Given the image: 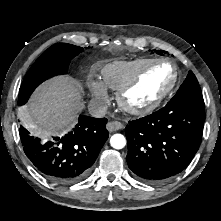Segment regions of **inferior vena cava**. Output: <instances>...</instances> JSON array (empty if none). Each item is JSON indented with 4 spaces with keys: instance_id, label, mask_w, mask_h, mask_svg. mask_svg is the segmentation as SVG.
<instances>
[{
    "instance_id": "1",
    "label": "inferior vena cava",
    "mask_w": 221,
    "mask_h": 221,
    "mask_svg": "<svg viewBox=\"0 0 221 221\" xmlns=\"http://www.w3.org/2000/svg\"><path fill=\"white\" fill-rule=\"evenodd\" d=\"M107 105L99 99H93L88 104V110L91 116L96 118H103L107 114Z\"/></svg>"
}]
</instances>
